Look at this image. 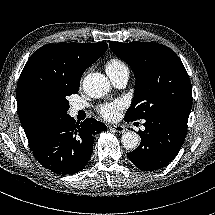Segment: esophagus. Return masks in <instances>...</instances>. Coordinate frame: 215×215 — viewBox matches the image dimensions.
Returning <instances> with one entry per match:
<instances>
[{
  "mask_svg": "<svg viewBox=\"0 0 215 215\" xmlns=\"http://www.w3.org/2000/svg\"><path fill=\"white\" fill-rule=\"evenodd\" d=\"M109 128L117 133H124L126 130L123 125H110Z\"/></svg>",
  "mask_w": 215,
  "mask_h": 215,
  "instance_id": "1",
  "label": "esophagus"
}]
</instances>
